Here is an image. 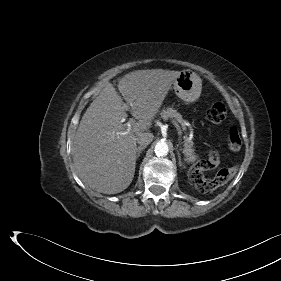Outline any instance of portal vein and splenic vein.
<instances>
[{
	"mask_svg": "<svg viewBox=\"0 0 281 281\" xmlns=\"http://www.w3.org/2000/svg\"><path fill=\"white\" fill-rule=\"evenodd\" d=\"M124 108H127V105H124ZM172 124L175 126V128L177 129L178 131V134H181V128L180 126L174 121L172 120L171 121ZM134 124V121L133 120H130L128 123H127V127H126V130L124 132H119L117 133L118 135H127L130 133V131L132 130V125Z\"/></svg>",
	"mask_w": 281,
	"mask_h": 281,
	"instance_id": "1",
	"label": "portal vein and splenic vein"
}]
</instances>
